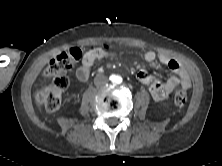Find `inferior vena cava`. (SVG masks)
I'll list each match as a JSON object with an SVG mask.
<instances>
[{
	"label": "inferior vena cava",
	"mask_w": 222,
	"mask_h": 166,
	"mask_svg": "<svg viewBox=\"0 0 222 166\" xmlns=\"http://www.w3.org/2000/svg\"><path fill=\"white\" fill-rule=\"evenodd\" d=\"M94 83L96 86H101L108 83V78L104 75H98L94 79Z\"/></svg>",
	"instance_id": "602c4592"
}]
</instances>
